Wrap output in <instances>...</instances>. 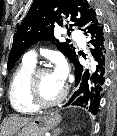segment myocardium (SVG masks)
Wrapping results in <instances>:
<instances>
[{
  "instance_id": "1",
  "label": "myocardium",
  "mask_w": 117,
  "mask_h": 136,
  "mask_svg": "<svg viewBox=\"0 0 117 136\" xmlns=\"http://www.w3.org/2000/svg\"><path fill=\"white\" fill-rule=\"evenodd\" d=\"M50 71L51 69L48 67H37L33 70V72L29 77L27 84V96L31 104L37 109H46V108L54 107L60 104L67 96L68 86L64 84L63 91L56 99L48 102H44L40 99L38 93V79L41 74Z\"/></svg>"
}]
</instances>
